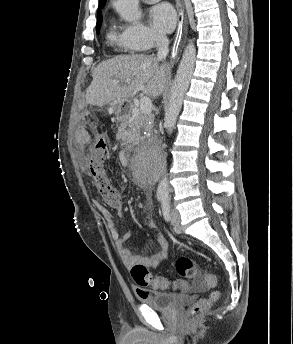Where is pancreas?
Returning <instances> with one entry per match:
<instances>
[{
  "instance_id": "pancreas-1",
  "label": "pancreas",
  "mask_w": 293,
  "mask_h": 344,
  "mask_svg": "<svg viewBox=\"0 0 293 344\" xmlns=\"http://www.w3.org/2000/svg\"><path fill=\"white\" fill-rule=\"evenodd\" d=\"M153 122V114H144L140 110H132L131 121H129L128 127L137 135H140L142 130L150 132L153 127Z\"/></svg>"
}]
</instances>
